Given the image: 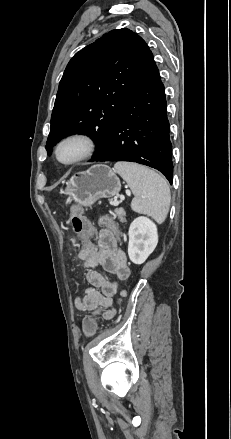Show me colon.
<instances>
[{"label":"colon","mask_w":231,"mask_h":439,"mask_svg":"<svg viewBox=\"0 0 231 439\" xmlns=\"http://www.w3.org/2000/svg\"><path fill=\"white\" fill-rule=\"evenodd\" d=\"M70 221L74 232L83 235L84 238H88L91 235L92 227L89 221L84 216H82L78 208L76 207L71 208ZM98 221L100 225L109 227L116 233H119L118 226L111 219L105 216H101L99 217ZM92 256H93L92 251L90 250L85 251L84 254L80 255L79 263L85 264L89 262ZM89 312H90L89 318H86L83 322V329L87 336H92L97 329L96 321H98L99 319L98 316L103 315L104 312L101 309L100 310L97 309V307L95 306L90 307Z\"/></svg>","instance_id":"1"}]
</instances>
